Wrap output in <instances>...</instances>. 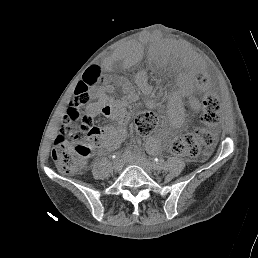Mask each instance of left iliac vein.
Wrapping results in <instances>:
<instances>
[{
  "label": "left iliac vein",
  "instance_id": "1",
  "mask_svg": "<svg viewBox=\"0 0 258 258\" xmlns=\"http://www.w3.org/2000/svg\"><path fill=\"white\" fill-rule=\"evenodd\" d=\"M133 163L140 166L147 173H151L152 170L154 169V164L151 163L149 160L142 158V157L136 158L133 161Z\"/></svg>",
  "mask_w": 258,
  "mask_h": 258
}]
</instances>
